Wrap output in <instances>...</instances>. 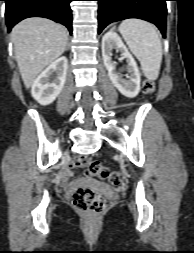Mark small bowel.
<instances>
[{"instance_id": "1", "label": "small bowel", "mask_w": 194, "mask_h": 253, "mask_svg": "<svg viewBox=\"0 0 194 253\" xmlns=\"http://www.w3.org/2000/svg\"><path fill=\"white\" fill-rule=\"evenodd\" d=\"M72 176V171L70 169H66L61 177H60V182L61 184L68 190L72 189L73 185L69 183V178Z\"/></svg>"}]
</instances>
